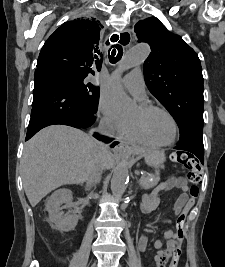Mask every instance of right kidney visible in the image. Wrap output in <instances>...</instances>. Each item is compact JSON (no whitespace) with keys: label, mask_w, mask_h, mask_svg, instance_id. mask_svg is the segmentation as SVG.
Listing matches in <instances>:
<instances>
[{"label":"right kidney","mask_w":225,"mask_h":267,"mask_svg":"<svg viewBox=\"0 0 225 267\" xmlns=\"http://www.w3.org/2000/svg\"><path fill=\"white\" fill-rule=\"evenodd\" d=\"M72 191L68 189H59L55 191L46 203V209L49 213V221L55 229L63 232L73 230L78 223V216L75 212L69 211L64 214L62 205L70 208L72 206Z\"/></svg>","instance_id":"obj_1"}]
</instances>
